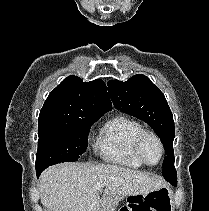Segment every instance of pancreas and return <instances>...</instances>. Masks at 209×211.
<instances>
[{
    "mask_svg": "<svg viewBox=\"0 0 209 211\" xmlns=\"http://www.w3.org/2000/svg\"><path fill=\"white\" fill-rule=\"evenodd\" d=\"M103 206L105 207L104 211H113V209L117 206V202L113 200L111 197L106 198L102 202Z\"/></svg>",
    "mask_w": 209,
    "mask_h": 211,
    "instance_id": "pancreas-1",
    "label": "pancreas"
}]
</instances>
